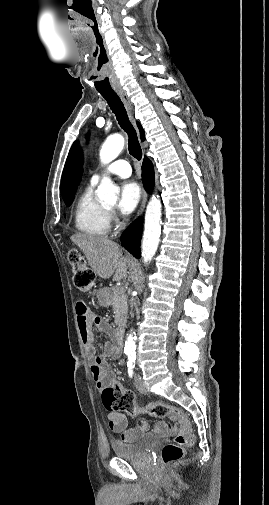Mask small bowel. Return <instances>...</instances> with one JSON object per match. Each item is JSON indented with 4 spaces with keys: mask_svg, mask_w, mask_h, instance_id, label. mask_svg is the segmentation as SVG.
I'll list each match as a JSON object with an SVG mask.
<instances>
[{
    "mask_svg": "<svg viewBox=\"0 0 269 505\" xmlns=\"http://www.w3.org/2000/svg\"><path fill=\"white\" fill-rule=\"evenodd\" d=\"M82 302H78L76 307L78 326L85 354L90 362V372L99 390L111 385L115 380V375L108 369L107 358H117L120 355V347L115 342H106L99 354L95 353L93 329H97L101 334L114 336V329L107 321L100 317L90 307H84ZM109 428L120 434L124 442L135 441L146 435L149 431V424L142 420L136 427L128 428V420L125 415L112 410H107ZM154 431L159 436H166L176 431L175 428L168 429L165 422H158L154 426Z\"/></svg>",
    "mask_w": 269,
    "mask_h": 505,
    "instance_id": "small-bowel-1",
    "label": "small bowel"
}]
</instances>
